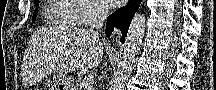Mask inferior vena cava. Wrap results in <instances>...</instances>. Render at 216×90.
Instances as JSON below:
<instances>
[{"mask_svg":"<svg viewBox=\"0 0 216 90\" xmlns=\"http://www.w3.org/2000/svg\"><path fill=\"white\" fill-rule=\"evenodd\" d=\"M93 20L91 24V32L95 30H100L102 32L104 22L109 14L108 6H104V4H94L93 6Z\"/></svg>","mask_w":216,"mask_h":90,"instance_id":"1","label":"inferior vena cava"}]
</instances>
